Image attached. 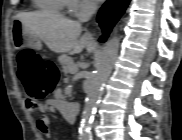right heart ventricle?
I'll return each mask as SVG.
<instances>
[{
	"instance_id": "obj_1",
	"label": "right heart ventricle",
	"mask_w": 182,
	"mask_h": 140,
	"mask_svg": "<svg viewBox=\"0 0 182 140\" xmlns=\"http://www.w3.org/2000/svg\"><path fill=\"white\" fill-rule=\"evenodd\" d=\"M68 3V0H35V7L41 11L61 13Z\"/></svg>"
}]
</instances>
